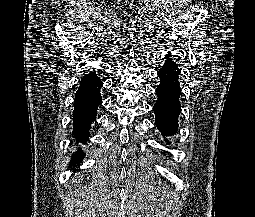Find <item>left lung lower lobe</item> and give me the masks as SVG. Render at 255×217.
<instances>
[{
	"mask_svg": "<svg viewBox=\"0 0 255 217\" xmlns=\"http://www.w3.org/2000/svg\"><path fill=\"white\" fill-rule=\"evenodd\" d=\"M162 68L158 71L160 84L156 89L158 100L154 105L156 115L155 125L163 136H170L177 133L178 116L181 113L179 102L180 69L168 54Z\"/></svg>",
	"mask_w": 255,
	"mask_h": 217,
	"instance_id": "left-lung-lower-lobe-1",
	"label": "left lung lower lobe"
}]
</instances>
